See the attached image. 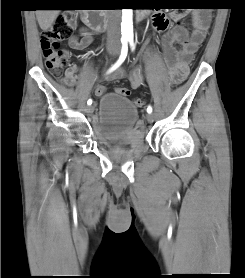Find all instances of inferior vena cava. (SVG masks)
Returning a JSON list of instances; mask_svg holds the SVG:
<instances>
[{
	"label": "inferior vena cava",
	"mask_w": 245,
	"mask_h": 278,
	"mask_svg": "<svg viewBox=\"0 0 245 278\" xmlns=\"http://www.w3.org/2000/svg\"><path fill=\"white\" fill-rule=\"evenodd\" d=\"M120 13L119 10H111L107 30V43L118 44L120 41Z\"/></svg>",
	"instance_id": "602c4592"
}]
</instances>
